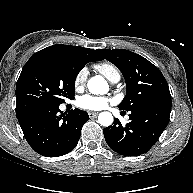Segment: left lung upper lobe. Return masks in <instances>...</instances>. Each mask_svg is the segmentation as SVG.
<instances>
[{"instance_id":"obj_1","label":"left lung upper lobe","mask_w":193,"mask_h":193,"mask_svg":"<svg viewBox=\"0 0 193 193\" xmlns=\"http://www.w3.org/2000/svg\"><path fill=\"white\" fill-rule=\"evenodd\" d=\"M102 58L122 72L127 92L119 109L132 111L155 101L171 98L169 87L161 71L147 59L124 49L98 50Z\"/></svg>"}]
</instances>
